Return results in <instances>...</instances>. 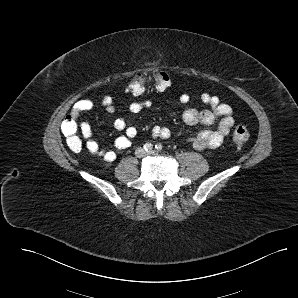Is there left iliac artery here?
<instances>
[{
    "instance_id": "left-iliac-artery-1",
    "label": "left iliac artery",
    "mask_w": 298,
    "mask_h": 298,
    "mask_svg": "<svg viewBox=\"0 0 298 298\" xmlns=\"http://www.w3.org/2000/svg\"><path fill=\"white\" fill-rule=\"evenodd\" d=\"M162 148H163V146H162V144H160V143H158V144L155 145V149H156L157 151H161Z\"/></svg>"
}]
</instances>
